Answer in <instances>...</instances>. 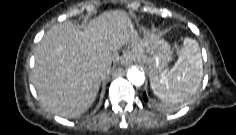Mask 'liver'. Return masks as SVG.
Returning <instances> with one entry per match:
<instances>
[{
	"label": "liver",
	"mask_w": 236,
	"mask_h": 135,
	"mask_svg": "<svg viewBox=\"0 0 236 135\" xmlns=\"http://www.w3.org/2000/svg\"><path fill=\"white\" fill-rule=\"evenodd\" d=\"M143 41L127 14L104 12L81 29L65 21L48 30L35 49L32 83L48 111L75 117L94 102L118 50L141 49Z\"/></svg>",
	"instance_id": "6515ba94"
}]
</instances>
